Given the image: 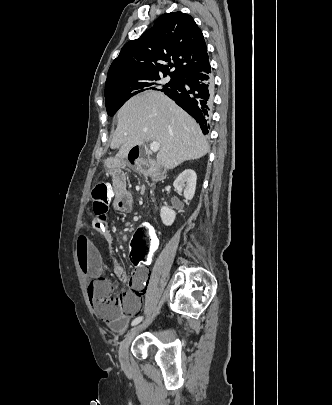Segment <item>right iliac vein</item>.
Here are the masks:
<instances>
[{
  "mask_svg": "<svg viewBox=\"0 0 332 405\" xmlns=\"http://www.w3.org/2000/svg\"><path fill=\"white\" fill-rule=\"evenodd\" d=\"M147 324L148 322H145L132 328L122 341L119 348V360L122 366H127L128 364V350L131 342L137 336V334L147 326Z\"/></svg>",
  "mask_w": 332,
  "mask_h": 405,
  "instance_id": "1",
  "label": "right iliac vein"
}]
</instances>
